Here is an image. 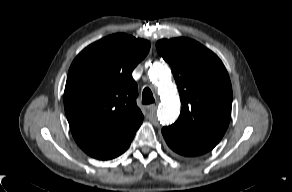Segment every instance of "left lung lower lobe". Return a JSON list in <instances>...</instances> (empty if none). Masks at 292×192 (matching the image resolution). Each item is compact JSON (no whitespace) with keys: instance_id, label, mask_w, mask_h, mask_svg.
<instances>
[{"instance_id":"obj_1","label":"left lung lower lobe","mask_w":292,"mask_h":192,"mask_svg":"<svg viewBox=\"0 0 292 192\" xmlns=\"http://www.w3.org/2000/svg\"><path fill=\"white\" fill-rule=\"evenodd\" d=\"M162 134L167 145L174 152L183 156L202 155L216 146L215 143L207 142L205 140L193 139L176 133L166 127L162 129Z\"/></svg>"}]
</instances>
